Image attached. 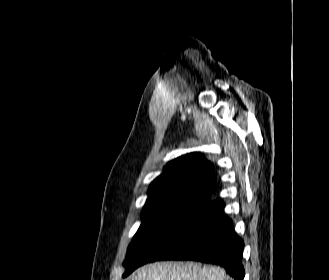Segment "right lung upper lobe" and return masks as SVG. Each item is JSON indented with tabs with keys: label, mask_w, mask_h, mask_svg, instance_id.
Wrapping results in <instances>:
<instances>
[{
	"label": "right lung upper lobe",
	"mask_w": 329,
	"mask_h": 280,
	"mask_svg": "<svg viewBox=\"0 0 329 280\" xmlns=\"http://www.w3.org/2000/svg\"><path fill=\"white\" fill-rule=\"evenodd\" d=\"M214 186L215 176L211 163L197 152L183 155L169 162L164 172L151 183L144 210L170 198L208 201Z\"/></svg>",
	"instance_id": "obj_1"
}]
</instances>
